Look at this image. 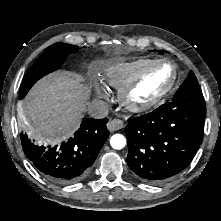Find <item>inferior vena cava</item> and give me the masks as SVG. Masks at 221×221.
<instances>
[{
    "label": "inferior vena cava",
    "mask_w": 221,
    "mask_h": 221,
    "mask_svg": "<svg viewBox=\"0 0 221 221\" xmlns=\"http://www.w3.org/2000/svg\"><path fill=\"white\" fill-rule=\"evenodd\" d=\"M88 113L93 118L102 119L109 113L108 104L103 100L94 99L88 105Z\"/></svg>",
    "instance_id": "1"
}]
</instances>
